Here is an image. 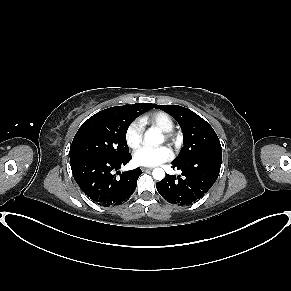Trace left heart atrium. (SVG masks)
<instances>
[{"instance_id":"obj_1","label":"left heart atrium","mask_w":291,"mask_h":291,"mask_svg":"<svg viewBox=\"0 0 291 291\" xmlns=\"http://www.w3.org/2000/svg\"><path fill=\"white\" fill-rule=\"evenodd\" d=\"M172 158V152L165 146H142L134 151L133 160L137 165L152 167L166 162Z\"/></svg>"}]
</instances>
